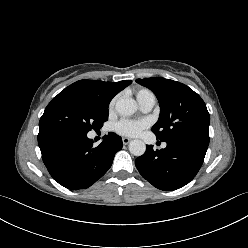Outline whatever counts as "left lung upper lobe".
Instances as JSON below:
<instances>
[{
  "label": "left lung upper lobe",
  "mask_w": 248,
  "mask_h": 248,
  "mask_svg": "<svg viewBox=\"0 0 248 248\" xmlns=\"http://www.w3.org/2000/svg\"><path fill=\"white\" fill-rule=\"evenodd\" d=\"M149 88L160 105V116L152 131L161 141L181 136L209 137L210 116L201 97L188 86L162 77L137 79Z\"/></svg>",
  "instance_id": "1"
}]
</instances>
